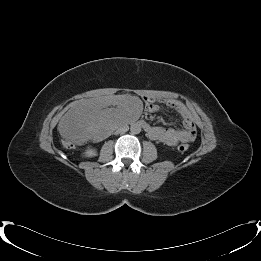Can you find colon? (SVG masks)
I'll return each mask as SVG.
<instances>
[{
  "instance_id": "5ec220e1",
  "label": "colon",
  "mask_w": 261,
  "mask_h": 261,
  "mask_svg": "<svg viewBox=\"0 0 261 261\" xmlns=\"http://www.w3.org/2000/svg\"><path fill=\"white\" fill-rule=\"evenodd\" d=\"M189 149V145L186 142H180L178 145V150L180 152H185Z\"/></svg>"
}]
</instances>
